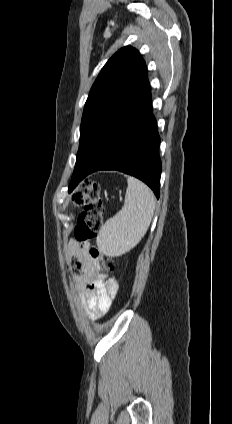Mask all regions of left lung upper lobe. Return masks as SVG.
I'll use <instances>...</instances> for the list:
<instances>
[{
    "label": "left lung upper lobe",
    "instance_id": "1",
    "mask_svg": "<svg viewBox=\"0 0 232 424\" xmlns=\"http://www.w3.org/2000/svg\"><path fill=\"white\" fill-rule=\"evenodd\" d=\"M146 80L147 68L136 49L123 47L108 60L85 103L73 175L81 173L96 139Z\"/></svg>",
    "mask_w": 232,
    "mask_h": 424
}]
</instances>
